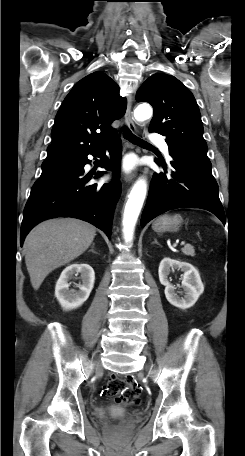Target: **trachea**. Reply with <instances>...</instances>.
Wrapping results in <instances>:
<instances>
[{
  "instance_id": "trachea-1",
  "label": "trachea",
  "mask_w": 245,
  "mask_h": 456,
  "mask_svg": "<svg viewBox=\"0 0 245 456\" xmlns=\"http://www.w3.org/2000/svg\"><path fill=\"white\" fill-rule=\"evenodd\" d=\"M123 135L125 138L129 139L131 142L137 145H148L147 142L135 136L128 128H124Z\"/></svg>"
}]
</instances>
